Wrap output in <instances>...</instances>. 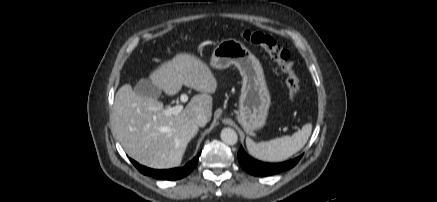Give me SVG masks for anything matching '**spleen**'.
Returning a JSON list of instances; mask_svg holds the SVG:
<instances>
[{
	"instance_id": "1",
	"label": "spleen",
	"mask_w": 437,
	"mask_h": 202,
	"mask_svg": "<svg viewBox=\"0 0 437 202\" xmlns=\"http://www.w3.org/2000/svg\"><path fill=\"white\" fill-rule=\"evenodd\" d=\"M311 132L312 124L307 123L292 136H282L267 142L255 143L247 137L246 146L249 153L259 160L280 162L300 151L307 143Z\"/></svg>"
}]
</instances>
